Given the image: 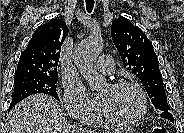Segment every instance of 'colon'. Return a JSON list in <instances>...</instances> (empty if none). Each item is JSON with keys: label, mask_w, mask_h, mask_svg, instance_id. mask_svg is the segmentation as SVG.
Here are the masks:
<instances>
[{"label": "colon", "mask_w": 184, "mask_h": 133, "mask_svg": "<svg viewBox=\"0 0 184 133\" xmlns=\"http://www.w3.org/2000/svg\"><path fill=\"white\" fill-rule=\"evenodd\" d=\"M153 133H168V130L165 126H156Z\"/></svg>", "instance_id": "obj_1"}]
</instances>
